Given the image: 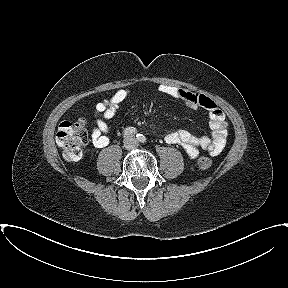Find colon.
Listing matches in <instances>:
<instances>
[{
	"instance_id": "obj_1",
	"label": "colon",
	"mask_w": 288,
	"mask_h": 288,
	"mask_svg": "<svg viewBox=\"0 0 288 288\" xmlns=\"http://www.w3.org/2000/svg\"><path fill=\"white\" fill-rule=\"evenodd\" d=\"M57 145L62 149L67 161H78L83 155V149L88 143L86 123L83 119L76 121H64L59 125L56 134ZM198 165L202 169H208L213 165L212 159L201 157Z\"/></svg>"
}]
</instances>
